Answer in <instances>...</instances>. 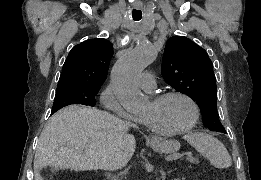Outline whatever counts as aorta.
Wrapping results in <instances>:
<instances>
[{
    "label": "aorta",
    "mask_w": 261,
    "mask_h": 180,
    "mask_svg": "<svg viewBox=\"0 0 261 180\" xmlns=\"http://www.w3.org/2000/svg\"><path fill=\"white\" fill-rule=\"evenodd\" d=\"M156 58V51L148 42L137 45L121 56L111 71L114 92L120 104L128 111L140 110L145 98L138 88L140 73Z\"/></svg>",
    "instance_id": "762f6f07"
}]
</instances>
